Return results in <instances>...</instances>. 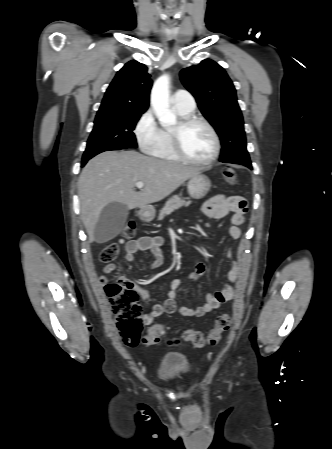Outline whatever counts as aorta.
<instances>
[{
	"label": "aorta",
	"mask_w": 332,
	"mask_h": 449,
	"mask_svg": "<svg viewBox=\"0 0 332 449\" xmlns=\"http://www.w3.org/2000/svg\"><path fill=\"white\" fill-rule=\"evenodd\" d=\"M169 85L170 77L163 75L155 81L151 91V106L163 126L176 124V117L170 110Z\"/></svg>",
	"instance_id": "762f6f07"
}]
</instances>
